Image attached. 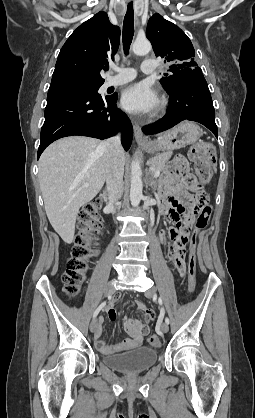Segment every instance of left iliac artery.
<instances>
[{
  "label": "left iliac artery",
  "instance_id": "44dca946",
  "mask_svg": "<svg viewBox=\"0 0 255 418\" xmlns=\"http://www.w3.org/2000/svg\"><path fill=\"white\" fill-rule=\"evenodd\" d=\"M159 303H160V305H162V300H161V298H159ZM165 322H166L167 324H169V323H170V320H169V318H168V317H166V318H165Z\"/></svg>",
  "mask_w": 255,
  "mask_h": 418
}]
</instances>
